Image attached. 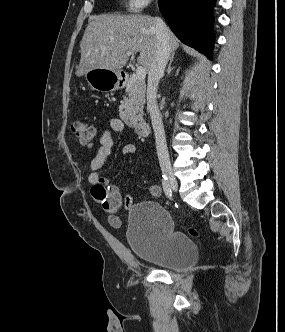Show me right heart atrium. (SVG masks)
Wrapping results in <instances>:
<instances>
[{
  "label": "right heart atrium",
  "mask_w": 285,
  "mask_h": 332,
  "mask_svg": "<svg viewBox=\"0 0 285 332\" xmlns=\"http://www.w3.org/2000/svg\"><path fill=\"white\" fill-rule=\"evenodd\" d=\"M152 0H124L125 6L132 12H140L145 9Z\"/></svg>",
  "instance_id": "right-heart-atrium-1"
}]
</instances>
